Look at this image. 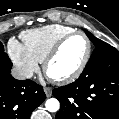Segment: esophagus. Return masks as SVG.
Wrapping results in <instances>:
<instances>
[{
	"label": "esophagus",
	"instance_id": "esophagus-1",
	"mask_svg": "<svg viewBox=\"0 0 119 119\" xmlns=\"http://www.w3.org/2000/svg\"><path fill=\"white\" fill-rule=\"evenodd\" d=\"M44 92L47 97H50L52 95V88L51 87H44Z\"/></svg>",
	"mask_w": 119,
	"mask_h": 119
}]
</instances>
